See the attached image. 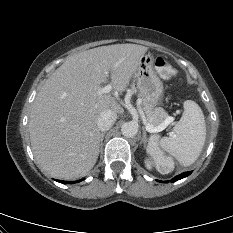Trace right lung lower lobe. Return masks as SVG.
<instances>
[{
  "label": "right lung lower lobe",
  "mask_w": 233,
  "mask_h": 233,
  "mask_svg": "<svg viewBox=\"0 0 233 233\" xmlns=\"http://www.w3.org/2000/svg\"><path fill=\"white\" fill-rule=\"evenodd\" d=\"M81 180L77 181V182H80ZM60 183H63V184H73L75 183L76 181H58Z\"/></svg>",
  "instance_id": "98d812e1"
}]
</instances>
